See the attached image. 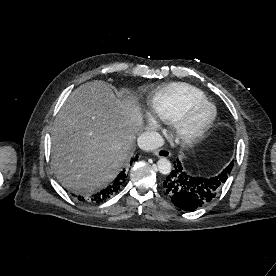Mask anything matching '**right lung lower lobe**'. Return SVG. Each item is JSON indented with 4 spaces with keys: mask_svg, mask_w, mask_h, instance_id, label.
I'll use <instances>...</instances> for the list:
<instances>
[{
    "mask_svg": "<svg viewBox=\"0 0 276 276\" xmlns=\"http://www.w3.org/2000/svg\"><path fill=\"white\" fill-rule=\"evenodd\" d=\"M137 159H138L137 155L131 158L130 164L132 165V163L135 162ZM126 175H127V172L125 169H123L121 173L115 178V180L107 188H104L103 190L92 195L88 200L95 203H99V202H103L107 198H110L112 195L118 192V190L120 189V187L125 181ZM78 199L81 201H85L84 197L79 196Z\"/></svg>",
    "mask_w": 276,
    "mask_h": 276,
    "instance_id": "obj_1",
    "label": "right lung lower lobe"
}]
</instances>
